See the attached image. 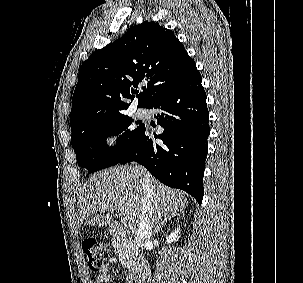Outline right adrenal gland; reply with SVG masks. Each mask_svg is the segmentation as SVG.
<instances>
[{"label":"right adrenal gland","instance_id":"2a0ac1e0","mask_svg":"<svg viewBox=\"0 0 303 283\" xmlns=\"http://www.w3.org/2000/svg\"><path fill=\"white\" fill-rule=\"evenodd\" d=\"M168 219H171V218H164L161 222H159L154 230V234L158 233L161 229V227L164 226V224L167 222Z\"/></svg>","mask_w":303,"mask_h":283}]
</instances>
